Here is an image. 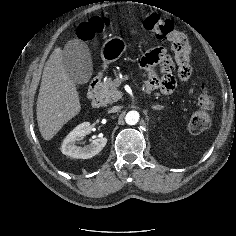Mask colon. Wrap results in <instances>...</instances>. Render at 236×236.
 <instances>
[{"instance_id":"obj_1","label":"colon","mask_w":236,"mask_h":236,"mask_svg":"<svg viewBox=\"0 0 236 236\" xmlns=\"http://www.w3.org/2000/svg\"><path fill=\"white\" fill-rule=\"evenodd\" d=\"M108 25L107 20L93 17L79 26L77 36L83 41H91L102 33ZM143 26L154 38L170 42L175 53L183 54L189 46L185 36L175 29L170 20L151 14L143 18ZM213 104L214 101L210 92L203 88L198 97V109L192 114L189 121L191 133L199 134L210 127V111L213 108Z\"/></svg>"}]
</instances>
